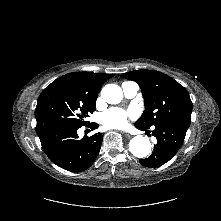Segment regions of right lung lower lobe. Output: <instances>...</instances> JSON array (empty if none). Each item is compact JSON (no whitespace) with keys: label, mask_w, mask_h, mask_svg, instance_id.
<instances>
[{"label":"right lung lower lobe","mask_w":221,"mask_h":221,"mask_svg":"<svg viewBox=\"0 0 221 221\" xmlns=\"http://www.w3.org/2000/svg\"><path fill=\"white\" fill-rule=\"evenodd\" d=\"M86 126L94 130L99 125L93 122ZM78 128L80 127L56 128L39 136L48 158L70 172L88 169L97 158L102 143L101 133L78 139Z\"/></svg>","instance_id":"right-lung-lower-lobe-1"}]
</instances>
